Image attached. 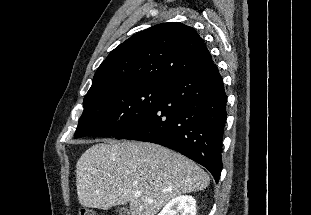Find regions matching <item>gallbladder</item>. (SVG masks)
Masks as SVG:
<instances>
[{
  "label": "gallbladder",
  "instance_id": "obj_1",
  "mask_svg": "<svg viewBox=\"0 0 311 215\" xmlns=\"http://www.w3.org/2000/svg\"><path fill=\"white\" fill-rule=\"evenodd\" d=\"M119 215H129V210L125 207H120L117 209Z\"/></svg>",
  "mask_w": 311,
  "mask_h": 215
}]
</instances>
